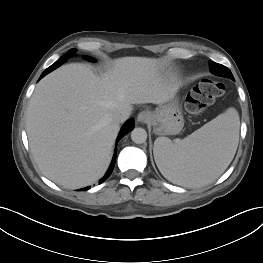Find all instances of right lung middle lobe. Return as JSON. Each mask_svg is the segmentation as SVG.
<instances>
[{
	"mask_svg": "<svg viewBox=\"0 0 263 263\" xmlns=\"http://www.w3.org/2000/svg\"><path fill=\"white\" fill-rule=\"evenodd\" d=\"M74 51H75V49H71V50L69 51V54L64 55V57L68 58V57L70 56V54L73 53ZM62 57H63V56H62ZM86 59L89 60V61H93V59L90 58V57H86Z\"/></svg>",
	"mask_w": 263,
	"mask_h": 263,
	"instance_id": "right-lung-middle-lobe-1",
	"label": "right lung middle lobe"
}]
</instances>
